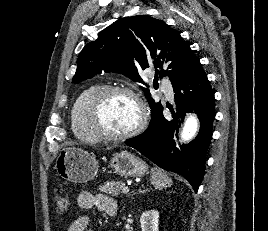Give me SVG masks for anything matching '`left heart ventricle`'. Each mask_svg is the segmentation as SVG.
<instances>
[{
  "label": "left heart ventricle",
  "instance_id": "1",
  "mask_svg": "<svg viewBox=\"0 0 268 231\" xmlns=\"http://www.w3.org/2000/svg\"><path fill=\"white\" fill-rule=\"evenodd\" d=\"M99 116L101 128L112 133H123L138 123L140 113L133 99L115 94L105 99L101 105Z\"/></svg>",
  "mask_w": 268,
  "mask_h": 231
}]
</instances>
